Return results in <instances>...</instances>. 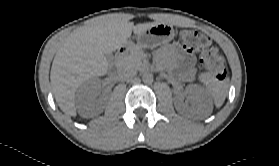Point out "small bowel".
Returning <instances> with one entry per match:
<instances>
[{"mask_svg": "<svg viewBox=\"0 0 279 166\" xmlns=\"http://www.w3.org/2000/svg\"><path fill=\"white\" fill-rule=\"evenodd\" d=\"M158 56L161 60L167 59L169 64L172 59H179L188 72H192L193 70L195 63L193 55L186 52L179 43H172L163 47L159 51Z\"/></svg>", "mask_w": 279, "mask_h": 166, "instance_id": "obj_1", "label": "small bowel"}]
</instances>
